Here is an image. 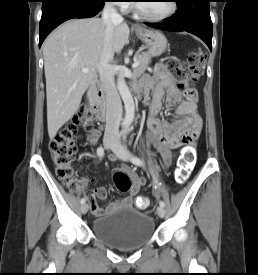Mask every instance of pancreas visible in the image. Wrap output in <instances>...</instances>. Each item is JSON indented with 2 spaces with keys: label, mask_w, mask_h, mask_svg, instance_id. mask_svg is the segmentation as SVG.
Returning a JSON list of instances; mask_svg holds the SVG:
<instances>
[{
  "label": "pancreas",
  "mask_w": 258,
  "mask_h": 275,
  "mask_svg": "<svg viewBox=\"0 0 258 275\" xmlns=\"http://www.w3.org/2000/svg\"><path fill=\"white\" fill-rule=\"evenodd\" d=\"M137 60L139 61V64L136 68L133 69V73L136 76H141L148 68L151 62V56L148 53L144 52L138 55Z\"/></svg>",
  "instance_id": "cf45deb5"
}]
</instances>
